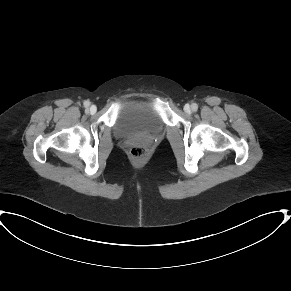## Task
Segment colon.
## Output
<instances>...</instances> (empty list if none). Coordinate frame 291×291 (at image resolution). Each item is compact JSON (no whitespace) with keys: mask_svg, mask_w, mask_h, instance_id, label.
Wrapping results in <instances>:
<instances>
[{"mask_svg":"<svg viewBox=\"0 0 291 291\" xmlns=\"http://www.w3.org/2000/svg\"><path fill=\"white\" fill-rule=\"evenodd\" d=\"M149 155L147 147L142 144L133 146L129 151L130 158L136 163L144 162Z\"/></svg>","mask_w":291,"mask_h":291,"instance_id":"1","label":"colon"}]
</instances>
